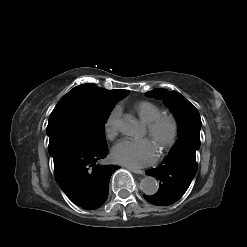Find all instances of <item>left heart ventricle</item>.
Listing matches in <instances>:
<instances>
[{
	"label": "left heart ventricle",
	"instance_id": "left-heart-ventricle-1",
	"mask_svg": "<svg viewBox=\"0 0 247 247\" xmlns=\"http://www.w3.org/2000/svg\"><path fill=\"white\" fill-rule=\"evenodd\" d=\"M168 130L167 129H164L163 132H162V135L165 136L167 134Z\"/></svg>",
	"mask_w": 247,
	"mask_h": 247
}]
</instances>
